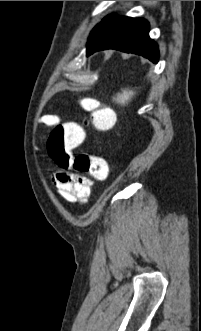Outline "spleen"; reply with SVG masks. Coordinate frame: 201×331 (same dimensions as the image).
I'll return each instance as SVG.
<instances>
[{"label": "spleen", "instance_id": "spleen-1", "mask_svg": "<svg viewBox=\"0 0 201 331\" xmlns=\"http://www.w3.org/2000/svg\"><path fill=\"white\" fill-rule=\"evenodd\" d=\"M134 95H135L134 90L125 88V89H122L121 93H118L115 97H113V101H115L117 104L125 106L131 101V99Z\"/></svg>", "mask_w": 201, "mask_h": 331}]
</instances>
